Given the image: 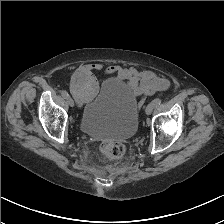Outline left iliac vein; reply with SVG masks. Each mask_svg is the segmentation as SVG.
Segmentation results:
<instances>
[{
    "mask_svg": "<svg viewBox=\"0 0 224 224\" xmlns=\"http://www.w3.org/2000/svg\"><path fill=\"white\" fill-rule=\"evenodd\" d=\"M154 108H155L154 104L150 103L145 109L146 115H150L153 112Z\"/></svg>",
    "mask_w": 224,
    "mask_h": 224,
    "instance_id": "4c4485c4",
    "label": "left iliac vein"
}]
</instances>
